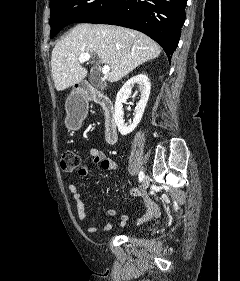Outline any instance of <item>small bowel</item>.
Returning a JSON list of instances; mask_svg holds the SVG:
<instances>
[{"instance_id": "small-bowel-1", "label": "small bowel", "mask_w": 240, "mask_h": 281, "mask_svg": "<svg viewBox=\"0 0 240 281\" xmlns=\"http://www.w3.org/2000/svg\"><path fill=\"white\" fill-rule=\"evenodd\" d=\"M88 155L90 157V162L83 164L78 171V174L81 177H86L90 174L91 171V164H99L103 170L106 171H115L118 169V163L113 160L112 158L108 157L103 151L97 149V148H90L88 150ZM68 190L72 194V198L76 205V216L77 220L80 223H84L86 221V211H85V205L82 200V196L78 190V187L76 184L71 183L68 185ZM126 194H133L135 196H140L142 198V205H143V212L137 219L136 224L141 225L145 222H147L154 214H155V206L149 199V197L142 193L139 190L136 189H128L126 191ZM107 214L109 216H116L117 210L116 209H109L107 211ZM129 216L128 215H121L120 216V225L123 226L128 221ZM112 224L108 223L103 227H95V226H89L87 227L86 231L91 234H95L97 236L101 235L102 233L108 232L112 229Z\"/></svg>"}]
</instances>
